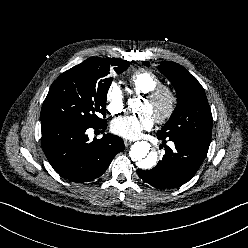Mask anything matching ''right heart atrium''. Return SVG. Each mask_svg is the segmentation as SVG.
I'll return each instance as SVG.
<instances>
[{
    "label": "right heart atrium",
    "instance_id": "1",
    "mask_svg": "<svg viewBox=\"0 0 248 248\" xmlns=\"http://www.w3.org/2000/svg\"><path fill=\"white\" fill-rule=\"evenodd\" d=\"M107 109L112 114H118L124 110L125 98L120 86L112 82L106 91Z\"/></svg>",
    "mask_w": 248,
    "mask_h": 248
}]
</instances>
